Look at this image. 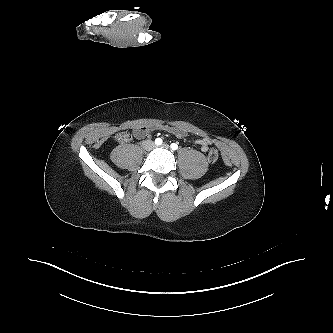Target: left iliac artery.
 Segmentation results:
<instances>
[{
	"mask_svg": "<svg viewBox=\"0 0 333 333\" xmlns=\"http://www.w3.org/2000/svg\"><path fill=\"white\" fill-rule=\"evenodd\" d=\"M171 149L172 150H177L178 149V145L176 143H172L171 144Z\"/></svg>",
	"mask_w": 333,
	"mask_h": 333,
	"instance_id": "44dca946",
	"label": "left iliac artery"
}]
</instances>
